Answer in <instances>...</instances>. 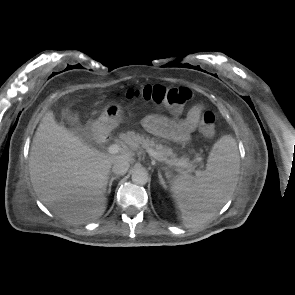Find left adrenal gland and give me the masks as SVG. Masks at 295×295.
<instances>
[{
	"label": "left adrenal gland",
	"mask_w": 295,
	"mask_h": 295,
	"mask_svg": "<svg viewBox=\"0 0 295 295\" xmlns=\"http://www.w3.org/2000/svg\"><path fill=\"white\" fill-rule=\"evenodd\" d=\"M158 177H159V180H160V184H161L164 188H166V184H165L164 179L162 178V175H161L160 172L158 173Z\"/></svg>",
	"instance_id": "left-adrenal-gland-1"
}]
</instances>
